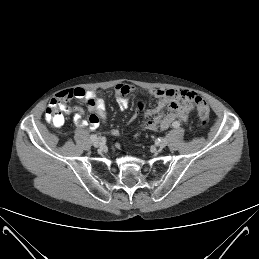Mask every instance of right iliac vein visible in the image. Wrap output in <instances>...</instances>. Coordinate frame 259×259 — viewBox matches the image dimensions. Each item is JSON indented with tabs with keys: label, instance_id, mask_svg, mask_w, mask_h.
Wrapping results in <instances>:
<instances>
[{
	"label": "right iliac vein",
	"instance_id": "63e3f726",
	"mask_svg": "<svg viewBox=\"0 0 259 259\" xmlns=\"http://www.w3.org/2000/svg\"><path fill=\"white\" fill-rule=\"evenodd\" d=\"M93 145L95 146V147H99L100 145H101V141H100V139L99 138H97V139H95V140H93Z\"/></svg>",
	"mask_w": 259,
	"mask_h": 259
}]
</instances>
